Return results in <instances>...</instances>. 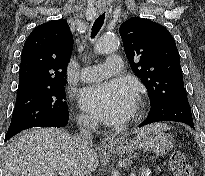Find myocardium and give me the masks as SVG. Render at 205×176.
<instances>
[{
  "label": "myocardium",
  "mask_w": 205,
  "mask_h": 176,
  "mask_svg": "<svg viewBox=\"0 0 205 176\" xmlns=\"http://www.w3.org/2000/svg\"><path fill=\"white\" fill-rule=\"evenodd\" d=\"M142 115H143V103L140 101L137 104V106H136V108L131 116L130 121L131 122L138 121L139 119H141Z\"/></svg>",
  "instance_id": "myocardium-1"
}]
</instances>
